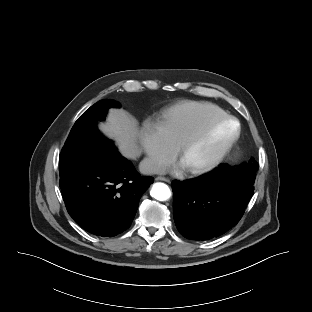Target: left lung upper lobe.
I'll return each mask as SVG.
<instances>
[{"label": "left lung upper lobe", "instance_id": "left-lung-upper-lobe-1", "mask_svg": "<svg viewBox=\"0 0 312 312\" xmlns=\"http://www.w3.org/2000/svg\"><path fill=\"white\" fill-rule=\"evenodd\" d=\"M231 171L237 175L240 179L247 182L250 185L254 184L255 173L259 168L258 163L252 158L248 162H243L239 166L231 167Z\"/></svg>", "mask_w": 312, "mask_h": 312}]
</instances>
